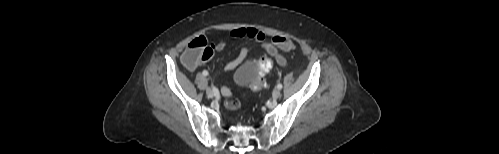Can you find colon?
Wrapping results in <instances>:
<instances>
[{
  "mask_svg": "<svg viewBox=\"0 0 499 154\" xmlns=\"http://www.w3.org/2000/svg\"><path fill=\"white\" fill-rule=\"evenodd\" d=\"M273 43L283 51H291L294 49L293 42L285 36H275ZM214 54L212 45L203 36L194 38L187 46L183 53L182 60L189 68L196 67L200 62L209 60ZM259 71L255 81L251 84V89L254 91H261L265 88L263 76L268 73L272 68V61L263 57L257 62ZM226 106L229 109L236 110L241 107V102L235 98H228Z\"/></svg>",
  "mask_w": 499,
  "mask_h": 154,
  "instance_id": "1",
  "label": "colon"
}]
</instances>
